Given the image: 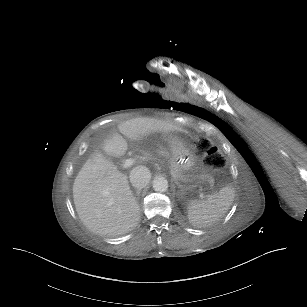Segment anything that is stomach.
<instances>
[{"mask_svg":"<svg viewBox=\"0 0 307 307\" xmlns=\"http://www.w3.org/2000/svg\"><path fill=\"white\" fill-rule=\"evenodd\" d=\"M171 149L175 178L184 183L194 182L197 179L196 147L187 137L177 136L172 140Z\"/></svg>","mask_w":307,"mask_h":307,"instance_id":"0dacf381","label":"stomach"}]
</instances>
